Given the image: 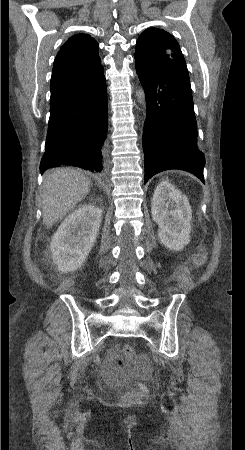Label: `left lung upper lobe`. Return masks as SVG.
Masks as SVG:
<instances>
[{"label":"left lung upper lobe","instance_id":"obj_1","mask_svg":"<svg viewBox=\"0 0 245 450\" xmlns=\"http://www.w3.org/2000/svg\"><path fill=\"white\" fill-rule=\"evenodd\" d=\"M135 64L152 72H163L192 96L190 78L178 42L164 30L149 28L138 38Z\"/></svg>","mask_w":245,"mask_h":450}]
</instances>
